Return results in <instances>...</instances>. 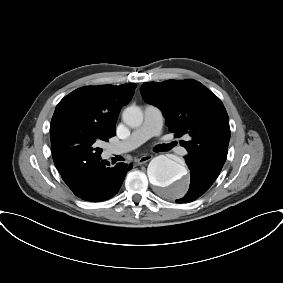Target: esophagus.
<instances>
[{
	"label": "esophagus",
	"mask_w": 283,
	"mask_h": 283,
	"mask_svg": "<svg viewBox=\"0 0 283 283\" xmlns=\"http://www.w3.org/2000/svg\"><path fill=\"white\" fill-rule=\"evenodd\" d=\"M151 159H152V156H151V155H144V156H141V157L137 160V164H138V165L145 164V163H147L148 161H150Z\"/></svg>",
	"instance_id": "obj_1"
}]
</instances>
